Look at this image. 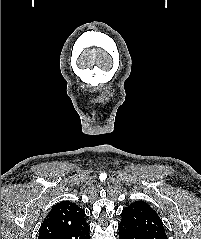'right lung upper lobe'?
I'll use <instances>...</instances> for the list:
<instances>
[{
  "instance_id": "1",
  "label": "right lung upper lobe",
  "mask_w": 201,
  "mask_h": 239,
  "mask_svg": "<svg viewBox=\"0 0 201 239\" xmlns=\"http://www.w3.org/2000/svg\"><path fill=\"white\" fill-rule=\"evenodd\" d=\"M85 216V211L76 204L60 202L44 220L38 239H87L90 227Z\"/></svg>"
}]
</instances>
